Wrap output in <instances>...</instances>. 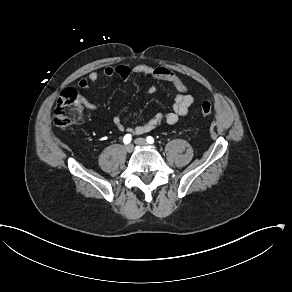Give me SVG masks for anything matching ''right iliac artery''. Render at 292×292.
Here are the masks:
<instances>
[{
	"mask_svg": "<svg viewBox=\"0 0 292 292\" xmlns=\"http://www.w3.org/2000/svg\"><path fill=\"white\" fill-rule=\"evenodd\" d=\"M131 139H132L131 134H126V135L124 136V138H123V142H124L125 144H129V143L131 142Z\"/></svg>",
	"mask_w": 292,
	"mask_h": 292,
	"instance_id": "1",
	"label": "right iliac artery"
}]
</instances>
